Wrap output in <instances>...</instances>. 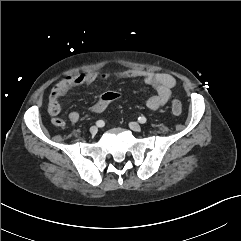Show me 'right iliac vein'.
<instances>
[{"mask_svg": "<svg viewBox=\"0 0 241 241\" xmlns=\"http://www.w3.org/2000/svg\"><path fill=\"white\" fill-rule=\"evenodd\" d=\"M97 131H98V128H97L96 126H92V127L90 128V133H91L92 135H95V134L97 133Z\"/></svg>", "mask_w": 241, "mask_h": 241, "instance_id": "right-iliac-vein-1", "label": "right iliac vein"}]
</instances>
